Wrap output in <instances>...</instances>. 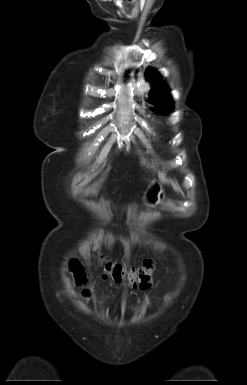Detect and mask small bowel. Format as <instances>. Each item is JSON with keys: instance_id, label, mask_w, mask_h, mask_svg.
<instances>
[{"instance_id": "small-bowel-1", "label": "small bowel", "mask_w": 247, "mask_h": 385, "mask_svg": "<svg viewBox=\"0 0 247 385\" xmlns=\"http://www.w3.org/2000/svg\"><path fill=\"white\" fill-rule=\"evenodd\" d=\"M168 298H169V296L166 297V299H168ZM105 300H106V296L102 297L100 304L101 305L104 304Z\"/></svg>"}]
</instances>
